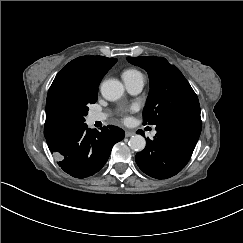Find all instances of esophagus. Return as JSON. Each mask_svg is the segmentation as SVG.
Segmentation results:
<instances>
[{
	"instance_id": "1",
	"label": "esophagus",
	"mask_w": 243,
	"mask_h": 243,
	"mask_svg": "<svg viewBox=\"0 0 243 243\" xmlns=\"http://www.w3.org/2000/svg\"><path fill=\"white\" fill-rule=\"evenodd\" d=\"M133 135H135V132H133V131H125V137L126 138L131 137Z\"/></svg>"
}]
</instances>
